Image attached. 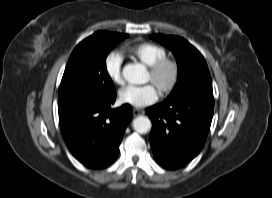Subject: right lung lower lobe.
<instances>
[{"label":"right lung lower lobe","instance_id":"obj_1","mask_svg":"<svg viewBox=\"0 0 272 198\" xmlns=\"http://www.w3.org/2000/svg\"><path fill=\"white\" fill-rule=\"evenodd\" d=\"M116 94L102 101H80L58 107L61 133L70 152L90 168L112 164L132 119L128 104L111 109Z\"/></svg>","mask_w":272,"mask_h":198}]
</instances>
